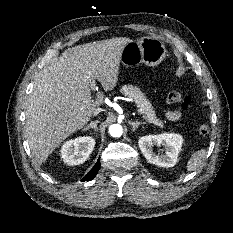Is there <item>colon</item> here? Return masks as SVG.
<instances>
[{"instance_id":"colon-1","label":"colon","mask_w":233,"mask_h":233,"mask_svg":"<svg viewBox=\"0 0 233 233\" xmlns=\"http://www.w3.org/2000/svg\"><path fill=\"white\" fill-rule=\"evenodd\" d=\"M167 102L174 105H179L182 110L188 111L192 107V98L179 90L172 89L167 93ZM198 132L207 136L210 133V127L207 123L203 122L198 127Z\"/></svg>"}]
</instances>
